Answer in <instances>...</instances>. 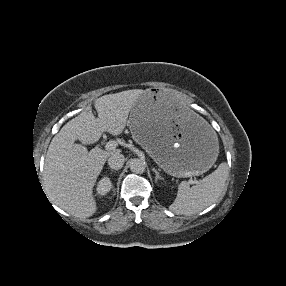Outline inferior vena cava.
I'll list each match as a JSON object with an SVG mask.
<instances>
[{
    "label": "inferior vena cava",
    "instance_id": "obj_1",
    "mask_svg": "<svg viewBox=\"0 0 286 286\" xmlns=\"http://www.w3.org/2000/svg\"><path fill=\"white\" fill-rule=\"evenodd\" d=\"M124 162H125L124 155L118 152L112 154L108 158V165L110 166V168L115 169V170L121 169L124 165Z\"/></svg>",
    "mask_w": 286,
    "mask_h": 286
}]
</instances>
